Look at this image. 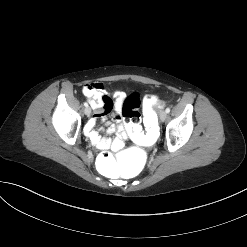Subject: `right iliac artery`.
I'll return each mask as SVG.
<instances>
[{"mask_svg": "<svg viewBox=\"0 0 247 247\" xmlns=\"http://www.w3.org/2000/svg\"><path fill=\"white\" fill-rule=\"evenodd\" d=\"M84 106H85V107H88V103H87V102H85V103H84Z\"/></svg>", "mask_w": 247, "mask_h": 247, "instance_id": "1", "label": "right iliac artery"}]
</instances>
